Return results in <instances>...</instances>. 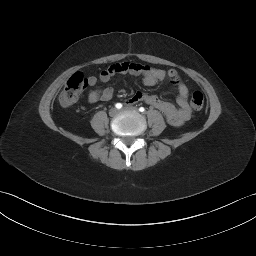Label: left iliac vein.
<instances>
[{
  "label": "left iliac vein",
  "instance_id": "left-iliac-vein-1",
  "mask_svg": "<svg viewBox=\"0 0 256 256\" xmlns=\"http://www.w3.org/2000/svg\"><path fill=\"white\" fill-rule=\"evenodd\" d=\"M120 112H133V113H138V109L136 107H125L123 108Z\"/></svg>",
  "mask_w": 256,
  "mask_h": 256
}]
</instances>
